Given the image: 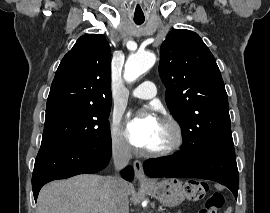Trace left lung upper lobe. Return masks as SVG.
Instances as JSON below:
<instances>
[{"instance_id":"left-lung-upper-lobe-1","label":"left lung upper lobe","mask_w":270,"mask_h":213,"mask_svg":"<svg viewBox=\"0 0 270 213\" xmlns=\"http://www.w3.org/2000/svg\"><path fill=\"white\" fill-rule=\"evenodd\" d=\"M159 73L183 141L210 150L234 146L224 82L214 56L198 34L171 31L160 48Z\"/></svg>"}]
</instances>
